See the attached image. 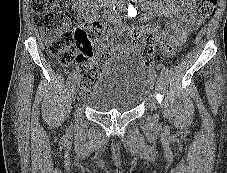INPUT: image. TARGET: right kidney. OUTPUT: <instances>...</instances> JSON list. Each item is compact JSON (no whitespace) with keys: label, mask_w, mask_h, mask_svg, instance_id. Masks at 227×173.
<instances>
[{"label":"right kidney","mask_w":227,"mask_h":173,"mask_svg":"<svg viewBox=\"0 0 227 173\" xmlns=\"http://www.w3.org/2000/svg\"><path fill=\"white\" fill-rule=\"evenodd\" d=\"M74 3L72 5V9H79L82 6H84V1L85 0H72Z\"/></svg>","instance_id":"ca27d5eb"}]
</instances>
